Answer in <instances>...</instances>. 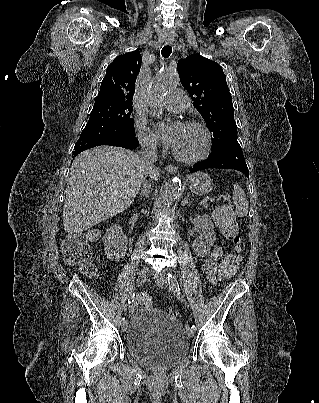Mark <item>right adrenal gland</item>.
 <instances>
[{
	"label": "right adrenal gland",
	"instance_id": "obj_1",
	"mask_svg": "<svg viewBox=\"0 0 319 403\" xmlns=\"http://www.w3.org/2000/svg\"><path fill=\"white\" fill-rule=\"evenodd\" d=\"M149 193H150V186L145 183L143 185V189H142L141 193L139 194V198L142 199V198L148 197Z\"/></svg>",
	"mask_w": 319,
	"mask_h": 403
}]
</instances>
